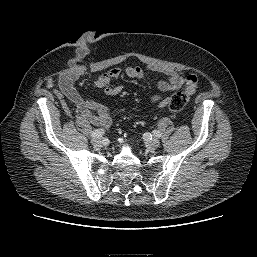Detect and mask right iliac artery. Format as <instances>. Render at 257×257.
Instances as JSON below:
<instances>
[{
	"label": "right iliac artery",
	"instance_id": "82829eb1",
	"mask_svg": "<svg viewBox=\"0 0 257 257\" xmlns=\"http://www.w3.org/2000/svg\"><path fill=\"white\" fill-rule=\"evenodd\" d=\"M104 134V130L103 129H95L91 132V137L92 138H99L100 136H102Z\"/></svg>",
	"mask_w": 257,
	"mask_h": 257
}]
</instances>
